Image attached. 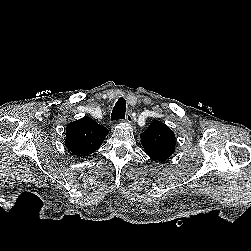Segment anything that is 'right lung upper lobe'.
<instances>
[{
	"label": "right lung upper lobe",
	"instance_id": "obj_1",
	"mask_svg": "<svg viewBox=\"0 0 251 251\" xmlns=\"http://www.w3.org/2000/svg\"><path fill=\"white\" fill-rule=\"evenodd\" d=\"M107 134L105 127L90 117H83L67 125L65 145L75 156L85 157L101 146Z\"/></svg>",
	"mask_w": 251,
	"mask_h": 251
}]
</instances>
